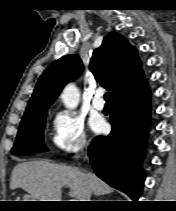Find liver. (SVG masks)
Wrapping results in <instances>:
<instances>
[{
    "label": "liver",
    "mask_w": 176,
    "mask_h": 211,
    "mask_svg": "<svg viewBox=\"0 0 176 211\" xmlns=\"http://www.w3.org/2000/svg\"><path fill=\"white\" fill-rule=\"evenodd\" d=\"M64 186L69 187V196L77 201H84L86 188L96 196L112 192V188L93 173L47 160L19 163L11 174L10 189L22 188L36 201H61Z\"/></svg>",
    "instance_id": "6515ba94"
}]
</instances>
